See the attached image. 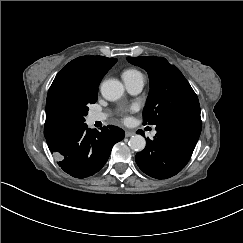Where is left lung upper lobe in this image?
Listing matches in <instances>:
<instances>
[{
  "label": "left lung upper lobe",
  "instance_id": "5c2ea615",
  "mask_svg": "<svg viewBox=\"0 0 243 243\" xmlns=\"http://www.w3.org/2000/svg\"><path fill=\"white\" fill-rule=\"evenodd\" d=\"M127 60L149 75L144 124L158 125L177 118L201 121L198 97L177 67L163 57H127Z\"/></svg>",
  "mask_w": 243,
  "mask_h": 243
}]
</instances>
